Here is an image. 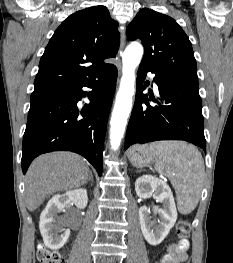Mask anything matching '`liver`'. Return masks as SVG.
I'll return each mask as SVG.
<instances>
[{"instance_id": "6515ba94", "label": "liver", "mask_w": 233, "mask_h": 263, "mask_svg": "<svg viewBox=\"0 0 233 263\" xmlns=\"http://www.w3.org/2000/svg\"><path fill=\"white\" fill-rule=\"evenodd\" d=\"M85 160L70 152L39 156L30 165L25 181V200L29 211L36 210L51 194L78 188L90 180Z\"/></svg>"}]
</instances>
